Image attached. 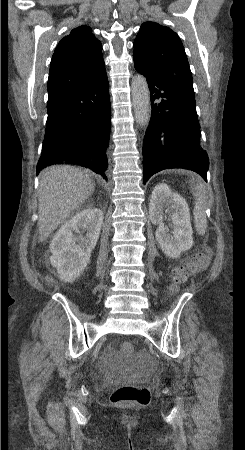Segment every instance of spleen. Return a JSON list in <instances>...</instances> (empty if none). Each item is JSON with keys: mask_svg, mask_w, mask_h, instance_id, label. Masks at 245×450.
Here are the masks:
<instances>
[{"mask_svg": "<svg viewBox=\"0 0 245 450\" xmlns=\"http://www.w3.org/2000/svg\"><path fill=\"white\" fill-rule=\"evenodd\" d=\"M195 208H194V221L197 232L203 235L207 228V220L205 214L206 208V191L204 185L199 182L195 187Z\"/></svg>", "mask_w": 245, "mask_h": 450, "instance_id": "3e777b00", "label": "spleen"}]
</instances>
